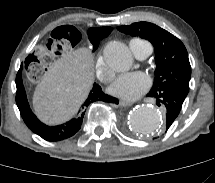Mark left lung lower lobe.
Wrapping results in <instances>:
<instances>
[{
	"label": "left lung lower lobe",
	"mask_w": 215,
	"mask_h": 183,
	"mask_svg": "<svg viewBox=\"0 0 215 183\" xmlns=\"http://www.w3.org/2000/svg\"><path fill=\"white\" fill-rule=\"evenodd\" d=\"M147 96L156 98V104L166 110V128L168 129L180 113L187 94L178 88L165 87L158 91H150Z\"/></svg>",
	"instance_id": "obj_1"
}]
</instances>
